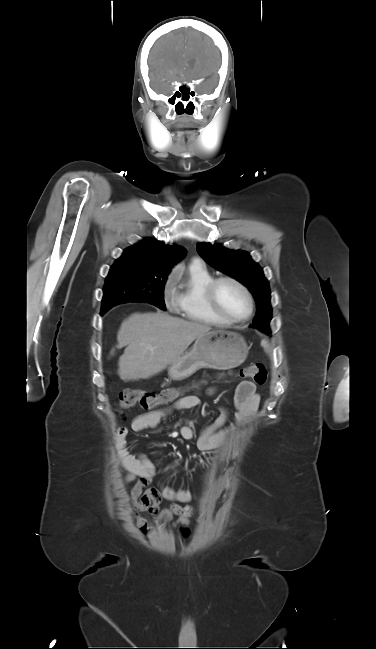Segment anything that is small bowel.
Wrapping results in <instances>:
<instances>
[{"mask_svg": "<svg viewBox=\"0 0 376 649\" xmlns=\"http://www.w3.org/2000/svg\"><path fill=\"white\" fill-rule=\"evenodd\" d=\"M214 389H210L212 393ZM261 397L256 390V385L251 381H242L239 383L235 393V421L227 425L229 414L226 409L221 408L220 416L214 423L207 426L197 439V447L201 451H213L221 449L233 437L239 426L248 418L256 413L259 408ZM200 404V399L196 395L183 397L171 406L150 411L136 416L132 423L131 429L134 432H140L148 428L158 426L163 419L174 410H192ZM127 429L119 428L116 436V450L121 466L126 471L124 482H135L131 489L132 504L134 515L137 519V527L143 534H149L150 528L146 519L141 517V512H148L153 519L163 521L173 527L180 526L181 533L186 534V526L193 516V509L189 506H181L177 502L186 503L192 500L193 495L187 490H177L171 487L155 488L148 487L154 479L155 467L153 463L143 454L134 456L129 454L126 449ZM175 436H180L185 440L194 438V429L190 425H184L179 429ZM227 456L224 449L216 456L214 461H222ZM148 487V488H147ZM165 499L172 501L170 508L161 510L160 502ZM177 516V520L173 517Z\"/></svg>", "mask_w": 376, "mask_h": 649, "instance_id": "small-bowel-1", "label": "small bowel"}]
</instances>
